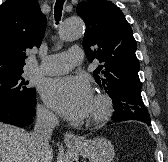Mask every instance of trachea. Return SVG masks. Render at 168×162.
<instances>
[{
	"instance_id": "1",
	"label": "trachea",
	"mask_w": 168,
	"mask_h": 162,
	"mask_svg": "<svg viewBox=\"0 0 168 162\" xmlns=\"http://www.w3.org/2000/svg\"><path fill=\"white\" fill-rule=\"evenodd\" d=\"M65 0H56L55 7H54V16L57 22L61 19L62 9Z\"/></svg>"
}]
</instances>
